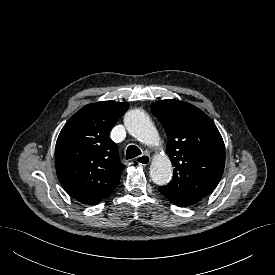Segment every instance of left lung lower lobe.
<instances>
[{
	"mask_svg": "<svg viewBox=\"0 0 275 275\" xmlns=\"http://www.w3.org/2000/svg\"><path fill=\"white\" fill-rule=\"evenodd\" d=\"M159 190L172 203H174L177 206H181V207H186V206H189V205H193V204L199 202L203 197V196H201L199 194H196V193L183 195V196H174V195L167 194L161 187H159Z\"/></svg>",
	"mask_w": 275,
	"mask_h": 275,
	"instance_id": "0a47b994",
	"label": "left lung lower lobe"
}]
</instances>
